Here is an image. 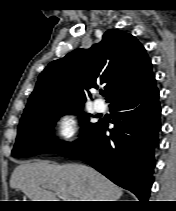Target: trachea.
Returning a JSON list of instances; mask_svg holds the SVG:
<instances>
[{
  "label": "trachea",
  "mask_w": 176,
  "mask_h": 211,
  "mask_svg": "<svg viewBox=\"0 0 176 211\" xmlns=\"http://www.w3.org/2000/svg\"><path fill=\"white\" fill-rule=\"evenodd\" d=\"M101 95H103V96H107V92H105V91H101Z\"/></svg>",
  "instance_id": "obj_1"
}]
</instances>
